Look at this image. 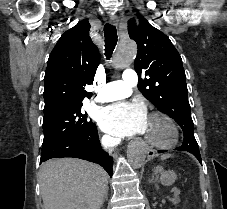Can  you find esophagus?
<instances>
[{"instance_id":"esophagus-1","label":"esophagus","mask_w":227,"mask_h":209,"mask_svg":"<svg viewBox=\"0 0 227 209\" xmlns=\"http://www.w3.org/2000/svg\"><path fill=\"white\" fill-rule=\"evenodd\" d=\"M110 23L112 25H117L118 20H117V14H110ZM155 149H148V151L145 152L146 155V160H149L151 157H155Z\"/></svg>"}]
</instances>
